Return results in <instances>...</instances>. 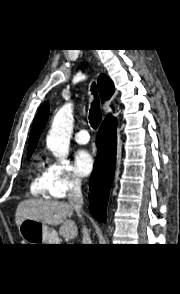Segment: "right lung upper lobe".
I'll return each mask as SVG.
<instances>
[{"label":"right lung upper lobe","instance_id":"cb5924a9","mask_svg":"<svg viewBox=\"0 0 180 294\" xmlns=\"http://www.w3.org/2000/svg\"><path fill=\"white\" fill-rule=\"evenodd\" d=\"M98 89L100 93L101 99L107 100L110 99L112 94L114 93V85L113 82L104 74H101L98 78ZM49 115V104L46 102L44 103L33 122V126L30 133L29 143H28V154L27 156L30 157L32 152L34 151L39 136L45 127Z\"/></svg>","mask_w":180,"mask_h":294}]
</instances>
